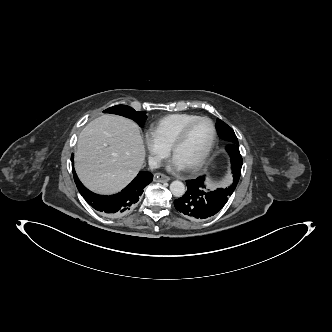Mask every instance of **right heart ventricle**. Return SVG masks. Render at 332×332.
Returning a JSON list of instances; mask_svg holds the SVG:
<instances>
[{"label":"right heart ventricle","instance_id":"1","mask_svg":"<svg viewBox=\"0 0 332 332\" xmlns=\"http://www.w3.org/2000/svg\"><path fill=\"white\" fill-rule=\"evenodd\" d=\"M199 117L194 114H169L160 118L151 128V132L168 149L180 132V130L190 121Z\"/></svg>","mask_w":332,"mask_h":332}]
</instances>
